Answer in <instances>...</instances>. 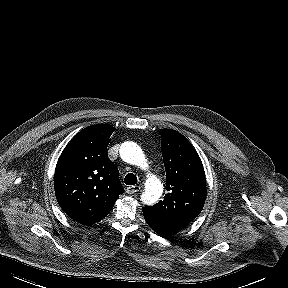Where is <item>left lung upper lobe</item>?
<instances>
[{
	"instance_id": "1",
	"label": "left lung upper lobe",
	"mask_w": 288,
	"mask_h": 288,
	"mask_svg": "<svg viewBox=\"0 0 288 288\" xmlns=\"http://www.w3.org/2000/svg\"><path fill=\"white\" fill-rule=\"evenodd\" d=\"M161 149L168 193L164 199L145 208L152 216L184 229L202 211L206 198V179L200 157L181 133L161 129Z\"/></svg>"
}]
</instances>
